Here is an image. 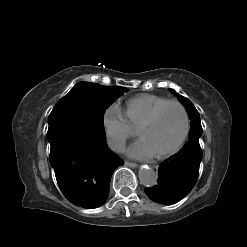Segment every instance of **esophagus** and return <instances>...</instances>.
<instances>
[{
    "mask_svg": "<svg viewBox=\"0 0 247 247\" xmlns=\"http://www.w3.org/2000/svg\"><path fill=\"white\" fill-rule=\"evenodd\" d=\"M125 165H127L129 167H132V168L138 167V165L136 163L129 162V161H125Z\"/></svg>",
    "mask_w": 247,
    "mask_h": 247,
    "instance_id": "1",
    "label": "esophagus"
}]
</instances>
